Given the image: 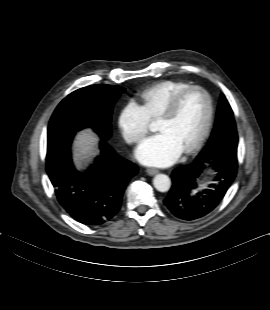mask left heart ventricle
<instances>
[{
    "mask_svg": "<svg viewBox=\"0 0 270 310\" xmlns=\"http://www.w3.org/2000/svg\"><path fill=\"white\" fill-rule=\"evenodd\" d=\"M207 114V101L200 91L187 93L181 100L176 114L169 120H158L156 129L166 133L183 151L201 133Z\"/></svg>",
    "mask_w": 270,
    "mask_h": 310,
    "instance_id": "b2bd125f",
    "label": "left heart ventricle"
}]
</instances>
